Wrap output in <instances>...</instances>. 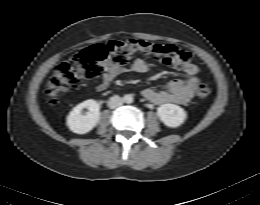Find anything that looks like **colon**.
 Segmentation results:
<instances>
[{
    "instance_id": "1",
    "label": "colon",
    "mask_w": 260,
    "mask_h": 205,
    "mask_svg": "<svg viewBox=\"0 0 260 205\" xmlns=\"http://www.w3.org/2000/svg\"><path fill=\"white\" fill-rule=\"evenodd\" d=\"M136 56L154 59L175 69H183L191 60L188 52L174 45L134 39L94 44L54 69L45 90L49 102L55 104L63 92L77 87L84 80L99 77L103 72L104 61L110 60L123 66ZM195 93L199 99L207 98L211 93L210 85L204 81L198 82Z\"/></svg>"
}]
</instances>
